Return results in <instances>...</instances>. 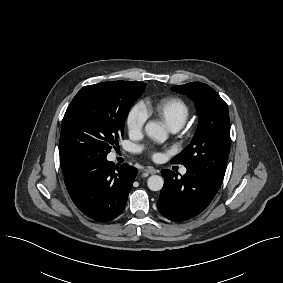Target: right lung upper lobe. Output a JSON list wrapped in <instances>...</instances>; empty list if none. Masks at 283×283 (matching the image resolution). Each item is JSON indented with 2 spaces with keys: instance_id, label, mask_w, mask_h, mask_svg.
I'll use <instances>...</instances> for the list:
<instances>
[{
  "instance_id": "cb5924a9",
  "label": "right lung upper lobe",
  "mask_w": 283,
  "mask_h": 283,
  "mask_svg": "<svg viewBox=\"0 0 283 283\" xmlns=\"http://www.w3.org/2000/svg\"><path fill=\"white\" fill-rule=\"evenodd\" d=\"M60 158H61V166L64 174L68 173L77 163V160L68 158L64 156L62 153H60Z\"/></svg>"
}]
</instances>
